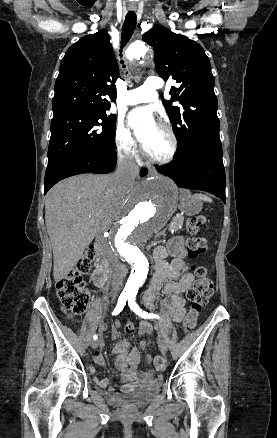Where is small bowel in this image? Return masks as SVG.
I'll list each match as a JSON object with an SVG mask.
<instances>
[{
    "instance_id": "obj_1",
    "label": "small bowel",
    "mask_w": 277,
    "mask_h": 438,
    "mask_svg": "<svg viewBox=\"0 0 277 438\" xmlns=\"http://www.w3.org/2000/svg\"><path fill=\"white\" fill-rule=\"evenodd\" d=\"M169 252L166 247L160 246L154 253L155 274L154 277L144 293L143 302L144 305L153 309L155 305L156 294L163 289L168 299H164L161 305L167 310L175 322H180L185 316V299L184 294L190 288L194 282V276L189 272L188 264L185 261V251L181 245L176 249V254L171 261H168ZM120 322L116 321L115 326L111 327V332L114 338L120 339L115 347V364L117 370L121 374L123 382V388L128 389L134 386H140L143 388H155L159 385L162 376L160 373H154L152 371L142 372L137 371L136 368L140 362L139 349H131L130 341L126 338L121 339V334L118 332ZM105 325L99 327L100 333L106 330ZM125 332L131 334L134 332V327L128 324L125 327ZM153 332V326L149 322H142L139 329L140 335H148ZM139 348L146 350L147 344L145 341L139 342ZM104 350V347H101ZM94 358L99 364H104V359L100 351L94 353ZM145 359L147 362L153 360L151 354H146ZM94 373V369H91ZM97 384L103 388H107L110 391L114 390L109 385L108 380H96Z\"/></svg>"
}]
</instances>
